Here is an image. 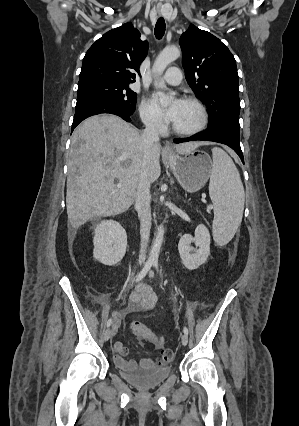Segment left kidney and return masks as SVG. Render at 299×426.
<instances>
[{
    "mask_svg": "<svg viewBox=\"0 0 299 426\" xmlns=\"http://www.w3.org/2000/svg\"><path fill=\"white\" fill-rule=\"evenodd\" d=\"M210 240L209 230L204 224L197 226L194 237L184 234L180 238L178 250L182 263L187 269L195 270L206 262L210 254ZM191 243H194L198 249L194 250Z\"/></svg>",
    "mask_w": 299,
    "mask_h": 426,
    "instance_id": "left-kidney-1",
    "label": "left kidney"
}]
</instances>
